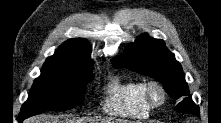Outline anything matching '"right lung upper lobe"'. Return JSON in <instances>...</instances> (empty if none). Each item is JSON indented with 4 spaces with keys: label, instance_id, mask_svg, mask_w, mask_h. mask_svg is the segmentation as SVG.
Returning a JSON list of instances; mask_svg holds the SVG:
<instances>
[{
    "label": "right lung upper lobe",
    "instance_id": "right-lung-upper-lobe-1",
    "mask_svg": "<svg viewBox=\"0 0 221 123\" xmlns=\"http://www.w3.org/2000/svg\"><path fill=\"white\" fill-rule=\"evenodd\" d=\"M92 48L90 44L82 38H74L64 42L55 54L46 59L44 64H69L82 69L89 68Z\"/></svg>",
    "mask_w": 221,
    "mask_h": 123
}]
</instances>
